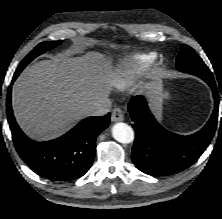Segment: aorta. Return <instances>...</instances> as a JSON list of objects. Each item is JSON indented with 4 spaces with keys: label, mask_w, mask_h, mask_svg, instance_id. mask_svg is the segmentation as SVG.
Returning a JSON list of instances; mask_svg holds the SVG:
<instances>
[{
    "label": "aorta",
    "mask_w": 222,
    "mask_h": 219,
    "mask_svg": "<svg viewBox=\"0 0 222 219\" xmlns=\"http://www.w3.org/2000/svg\"><path fill=\"white\" fill-rule=\"evenodd\" d=\"M113 138L123 144L131 143L134 140V131L126 123H116L112 127Z\"/></svg>",
    "instance_id": "obj_1"
}]
</instances>
